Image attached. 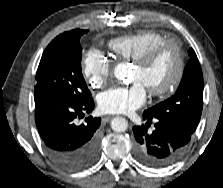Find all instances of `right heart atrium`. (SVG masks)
<instances>
[{
	"mask_svg": "<svg viewBox=\"0 0 223 188\" xmlns=\"http://www.w3.org/2000/svg\"><path fill=\"white\" fill-rule=\"evenodd\" d=\"M82 73L92 88L103 87L111 74L110 62L96 52H88L82 59Z\"/></svg>",
	"mask_w": 223,
	"mask_h": 188,
	"instance_id": "obj_1",
	"label": "right heart atrium"
}]
</instances>
